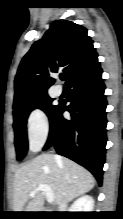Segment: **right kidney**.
<instances>
[{
  "mask_svg": "<svg viewBox=\"0 0 123 219\" xmlns=\"http://www.w3.org/2000/svg\"><path fill=\"white\" fill-rule=\"evenodd\" d=\"M94 199L92 196L84 195L78 198L70 207L69 212H93Z\"/></svg>",
  "mask_w": 123,
  "mask_h": 219,
  "instance_id": "obj_1",
  "label": "right kidney"
}]
</instances>
